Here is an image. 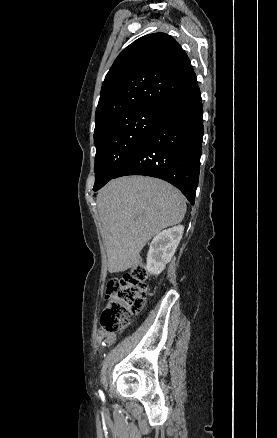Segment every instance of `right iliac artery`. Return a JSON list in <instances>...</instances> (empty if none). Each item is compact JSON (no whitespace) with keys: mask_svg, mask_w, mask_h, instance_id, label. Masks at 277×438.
Listing matches in <instances>:
<instances>
[{"mask_svg":"<svg viewBox=\"0 0 277 438\" xmlns=\"http://www.w3.org/2000/svg\"><path fill=\"white\" fill-rule=\"evenodd\" d=\"M99 393H100V395H101V396H103V394H102V392H101V391H100Z\"/></svg>","mask_w":277,"mask_h":438,"instance_id":"1","label":"right iliac artery"}]
</instances>
